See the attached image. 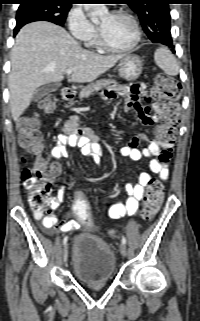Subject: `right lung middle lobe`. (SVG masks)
Returning a JSON list of instances; mask_svg holds the SVG:
<instances>
[{"label": "right lung middle lobe", "instance_id": "right-lung-middle-lobe-1", "mask_svg": "<svg viewBox=\"0 0 200 321\" xmlns=\"http://www.w3.org/2000/svg\"><path fill=\"white\" fill-rule=\"evenodd\" d=\"M71 3L60 0H25L17 10L16 25L33 21H49L63 26Z\"/></svg>", "mask_w": 200, "mask_h": 321}]
</instances>
